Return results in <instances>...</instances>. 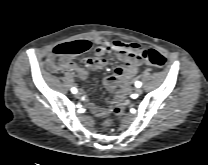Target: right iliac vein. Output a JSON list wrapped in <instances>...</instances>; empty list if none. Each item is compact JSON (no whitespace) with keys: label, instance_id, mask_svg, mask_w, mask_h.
Listing matches in <instances>:
<instances>
[{"label":"right iliac vein","instance_id":"1","mask_svg":"<svg viewBox=\"0 0 208 165\" xmlns=\"http://www.w3.org/2000/svg\"><path fill=\"white\" fill-rule=\"evenodd\" d=\"M77 98H80V96H81V93H76V95H75Z\"/></svg>","mask_w":208,"mask_h":165}]
</instances>
